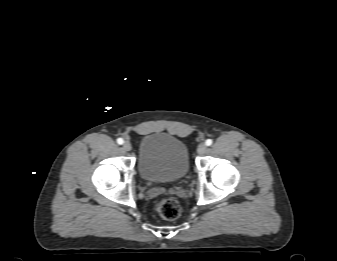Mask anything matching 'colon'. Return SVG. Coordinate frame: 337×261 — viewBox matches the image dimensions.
<instances>
[{"mask_svg":"<svg viewBox=\"0 0 337 261\" xmlns=\"http://www.w3.org/2000/svg\"><path fill=\"white\" fill-rule=\"evenodd\" d=\"M155 211L165 220H174L180 215V205L174 199H161L156 202Z\"/></svg>","mask_w":337,"mask_h":261,"instance_id":"obj_1","label":"colon"}]
</instances>
